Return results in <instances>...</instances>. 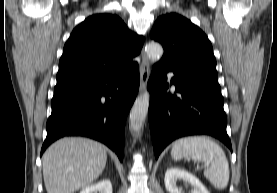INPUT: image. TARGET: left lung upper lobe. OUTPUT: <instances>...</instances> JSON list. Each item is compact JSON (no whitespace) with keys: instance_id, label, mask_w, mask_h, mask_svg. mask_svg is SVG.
I'll list each match as a JSON object with an SVG mask.
<instances>
[{"instance_id":"5c2ea615","label":"left lung upper lobe","mask_w":277,"mask_h":193,"mask_svg":"<svg viewBox=\"0 0 277 193\" xmlns=\"http://www.w3.org/2000/svg\"><path fill=\"white\" fill-rule=\"evenodd\" d=\"M151 38L164 48V55L157 65L178 75L218 77L209 39L185 17L176 13L160 16L153 26Z\"/></svg>"}]
</instances>
